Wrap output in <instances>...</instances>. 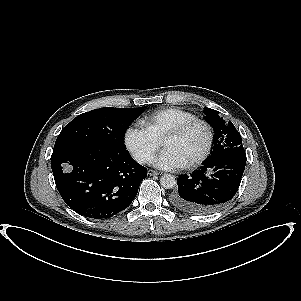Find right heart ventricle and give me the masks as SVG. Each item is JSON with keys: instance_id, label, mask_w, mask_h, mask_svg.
Wrapping results in <instances>:
<instances>
[{"instance_id": "e07e8e85", "label": "right heart ventricle", "mask_w": 301, "mask_h": 301, "mask_svg": "<svg viewBox=\"0 0 301 301\" xmlns=\"http://www.w3.org/2000/svg\"><path fill=\"white\" fill-rule=\"evenodd\" d=\"M193 118L195 116L188 111L179 108H166L149 116L144 121V126L156 140H161L167 131Z\"/></svg>"}]
</instances>
